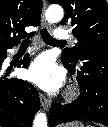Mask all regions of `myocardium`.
Masks as SVG:
<instances>
[{
	"label": "myocardium",
	"instance_id": "f54148a6",
	"mask_svg": "<svg viewBox=\"0 0 108 127\" xmlns=\"http://www.w3.org/2000/svg\"><path fill=\"white\" fill-rule=\"evenodd\" d=\"M67 97L69 98V99H73L75 96H76V94H77V91H76V88H74V87H70L68 90H67Z\"/></svg>",
	"mask_w": 108,
	"mask_h": 127
}]
</instances>
